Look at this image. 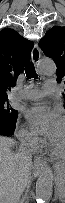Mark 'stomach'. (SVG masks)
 Listing matches in <instances>:
<instances>
[{
  "label": "stomach",
  "instance_id": "stomach-1",
  "mask_svg": "<svg viewBox=\"0 0 65 203\" xmlns=\"http://www.w3.org/2000/svg\"><path fill=\"white\" fill-rule=\"evenodd\" d=\"M57 194L63 200L65 198V167H57Z\"/></svg>",
  "mask_w": 65,
  "mask_h": 203
}]
</instances>
